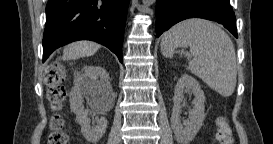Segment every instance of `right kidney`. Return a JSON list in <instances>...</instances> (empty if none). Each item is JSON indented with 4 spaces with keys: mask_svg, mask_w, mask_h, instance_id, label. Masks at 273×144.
Segmentation results:
<instances>
[{
    "mask_svg": "<svg viewBox=\"0 0 273 144\" xmlns=\"http://www.w3.org/2000/svg\"><path fill=\"white\" fill-rule=\"evenodd\" d=\"M86 96L91 103L101 102L113 96V91L108 82V75L102 67L86 66L84 74L79 78L70 93V108L76 115V121L81 125V132L85 139L97 143L104 135L107 120L104 117L97 119V124L90 126V119L84 109L83 98Z\"/></svg>",
    "mask_w": 273,
    "mask_h": 144,
    "instance_id": "ca27d5eb",
    "label": "right kidney"
}]
</instances>
